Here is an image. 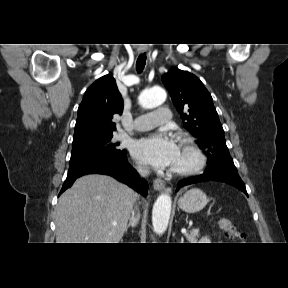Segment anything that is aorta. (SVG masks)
<instances>
[{
  "mask_svg": "<svg viewBox=\"0 0 288 288\" xmlns=\"http://www.w3.org/2000/svg\"><path fill=\"white\" fill-rule=\"evenodd\" d=\"M139 104L146 109H152L161 105L166 100V92L162 88H152L143 91L139 98ZM172 200L167 194H161L155 201L152 209V225L157 234H163L169 223Z\"/></svg>",
  "mask_w": 288,
  "mask_h": 288,
  "instance_id": "aorta-1",
  "label": "aorta"
}]
</instances>
